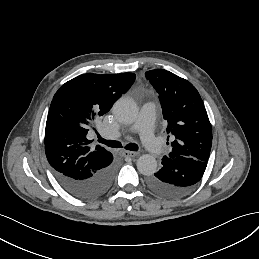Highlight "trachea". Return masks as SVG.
<instances>
[{"label":"trachea","instance_id":"1","mask_svg":"<svg viewBox=\"0 0 259 259\" xmlns=\"http://www.w3.org/2000/svg\"><path fill=\"white\" fill-rule=\"evenodd\" d=\"M98 137V142L103 143L111 148H121L122 144L119 141L116 140H106L102 138L99 134L97 135ZM126 150H131V151H137L139 149V146L135 143H129L125 146Z\"/></svg>","mask_w":259,"mask_h":259}]
</instances>
